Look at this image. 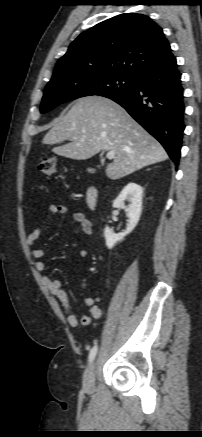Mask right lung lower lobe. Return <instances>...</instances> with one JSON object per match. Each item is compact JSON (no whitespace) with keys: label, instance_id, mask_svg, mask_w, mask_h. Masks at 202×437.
Returning <instances> with one entry per match:
<instances>
[{"label":"right lung lower lobe","instance_id":"1","mask_svg":"<svg viewBox=\"0 0 202 437\" xmlns=\"http://www.w3.org/2000/svg\"><path fill=\"white\" fill-rule=\"evenodd\" d=\"M126 111L165 148L178 165L184 124L181 73L176 59L136 78L125 92L108 97Z\"/></svg>","mask_w":202,"mask_h":437}]
</instances>
